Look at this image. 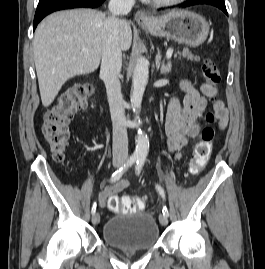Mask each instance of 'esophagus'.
<instances>
[{
  "mask_svg": "<svg viewBox=\"0 0 265 269\" xmlns=\"http://www.w3.org/2000/svg\"><path fill=\"white\" fill-rule=\"evenodd\" d=\"M134 18L138 23H151L153 21L152 17L144 11H137Z\"/></svg>",
  "mask_w": 265,
  "mask_h": 269,
  "instance_id": "1",
  "label": "esophagus"
}]
</instances>
